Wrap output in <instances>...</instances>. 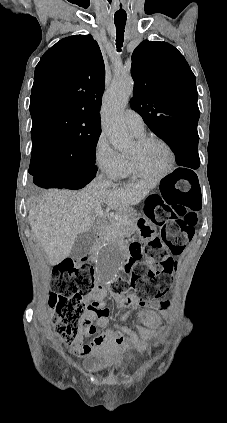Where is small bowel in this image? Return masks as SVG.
Masks as SVG:
<instances>
[{
  "instance_id": "c3829d8e",
  "label": "small bowel",
  "mask_w": 227,
  "mask_h": 423,
  "mask_svg": "<svg viewBox=\"0 0 227 423\" xmlns=\"http://www.w3.org/2000/svg\"><path fill=\"white\" fill-rule=\"evenodd\" d=\"M106 292V288L99 284L95 287L93 292L86 296L88 304L81 321V329L72 343L74 352L81 357H85L91 352L100 349L113 351L119 346L138 345V339L135 332L119 324L115 325L117 328L116 330L108 329L100 335L95 336L90 343H83L86 336L95 334L96 325L104 327L110 321V311L105 307L103 301ZM113 297L120 307L129 308L128 311L120 316L119 320L121 322L125 321L133 311L140 307L150 306L157 310H167L170 307L169 301L153 300L145 302L134 293L127 296L113 294ZM159 321L160 318L158 315L152 313L148 317V326L154 327ZM121 331L127 333L128 337H125Z\"/></svg>"
}]
</instances>
